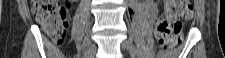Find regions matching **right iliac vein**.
<instances>
[{
  "label": "right iliac vein",
  "mask_w": 225,
  "mask_h": 58,
  "mask_svg": "<svg viewBox=\"0 0 225 58\" xmlns=\"http://www.w3.org/2000/svg\"><path fill=\"white\" fill-rule=\"evenodd\" d=\"M95 52H96V46L94 44H91L87 48V50H86V52L84 54V58H93Z\"/></svg>",
  "instance_id": "63e3f726"
}]
</instances>
